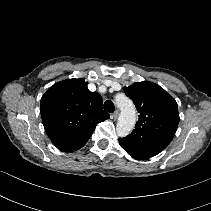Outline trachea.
I'll list each match as a JSON object with an SVG mask.
<instances>
[{
  "instance_id": "3493384b",
  "label": "trachea",
  "mask_w": 211,
  "mask_h": 211,
  "mask_svg": "<svg viewBox=\"0 0 211 211\" xmlns=\"http://www.w3.org/2000/svg\"><path fill=\"white\" fill-rule=\"evenodd\" d=\"M104 110L109 112V113H113L115 110V106L113 104V102L111 100H107L104 103Z\"/></svg>"
}]
</instances>
